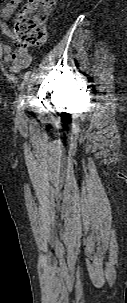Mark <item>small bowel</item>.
<instances>
[{
  "label": "small bowel",
  "mask_w": 127,
  "mask_h": 303,
  "mask_svg": "<svg viewBox=\"0 0 127 303\" xmlns=\"http://www.w3.org/2000/svg\"><path fill=\"white\" fill-rule=\"evenodd\" d=\"M23 0H12L10 4L0 11V31L4 37H10L11 31L6 21L10 19ZM1 51L4 54V61L9 65V70L19 73L26 69L31 63V56L26 49H13L10 45L3 43Z\"/></svg>",
  "instance_id": "small-bowel-1"
}]
</instances>
